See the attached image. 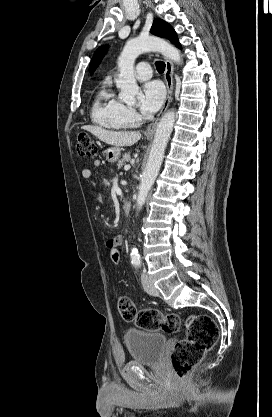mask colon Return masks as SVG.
Wrapping results in <instances>:
<instances>
[{
  "label": "colon",
  "mask_w": 272,
  "mask_h": 417,
  "mask_svg": "<svg viewBox=\"0 0 272 417\" xmlns=\"http://www.w3.org/2000/svg\"><path fill=\"white\" fill-rule=\"evenodd\" d=\"M77 153L82 157L93 158L98 149L89 136L82 134L78 137ZM120 245L118 242L107 245L109 257L116 265L121 260ZM117 307L124 320L144 330L176 333L185 327L186 337L174 344L170 355L175 375L180 380L185 379L201 362L206 351L215 345L219 337L218 326L208 315L193 314L183 321L174 313L163 314L149 308L137 310L133 301L126 296L118 300Z\"/></svg>",
  "instance_id": "obj_1"
}]
</instances>
